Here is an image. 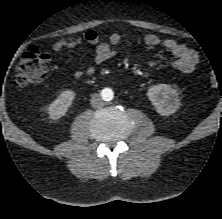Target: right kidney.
<instances>
[{"mask_svg": "<svg viewBox=\"0 0 222 219\" xmlns=\"http://www.w3.org/2000/svg\"><path fill=\"white\" fill-rule=\"evenodd\" d=\"M75 98L72 90H65L48 107V113L51 119L57 120L64 116Z\"/></svg>", "mask_w": 222, "mask_h": 219, "instance_id": "ca27d5eb", "label": "right kidney"}]
</instances>
